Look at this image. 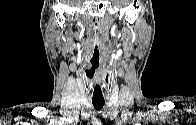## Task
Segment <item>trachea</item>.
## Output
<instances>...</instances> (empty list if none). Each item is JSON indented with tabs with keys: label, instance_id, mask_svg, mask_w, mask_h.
Here are the masks:
<instances>
[{
	"label": "trachea",
	"instance_id": "trachea-1",
	"mask_svg": "<svg viewBox=\"0 0 196 125\" xmlns=\"http://www.w3.org/2000/svg\"><path fill=\"white\" fill-rule=\"evenodd\" d=\"M92 104L96 110H101L105 104L104 100H92Z\"/></svg>",
	"mask_w": 196,
	"mask_h": 125
}]
</instances>
